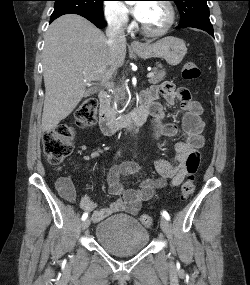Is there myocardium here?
Returning a JSON list of instances; mask_svg holds the SVG:
<instances>
[{
  "label": "myocardium",
  "instance_id": "1",
  "mask_svg": "<svg viewBox=\"0 0 250 285\" xmlns=\"http://www.w3.org/2000/svg\"><path fill=\"white\" fill-rule=\"evenodd\" d=\"M158 3L162 4L167 9L168 20L166 24L161 29L158 30H150L141 23L140 29L142 33L148 37H161L165 35L175 23L176 12L172 3L169 2L168 0H161Z\"/></svg>",
  "mask_w": 250,
  "mask_h": 285
}]
</instances>
